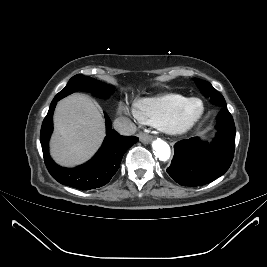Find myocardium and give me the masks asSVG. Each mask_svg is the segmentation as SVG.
Wrapping results in <instances>:
<instances>
[{"label": "myocardium", "instance_id": "1", "mask_svg": "<svg viewBox=\"0 0 267 267\" xmlns=\"http://www.w3.org/2000/svg\"><path fill=\"white\" fill-rule=\"evenodd\" d=\"M192 101H198L201 104V110L196 117L189 121H181V115L187 105ZM205 113V103L202 99L198 97L187 98L183 103H181L167 118H165L158 126L163 132L168 135L178 136L185 134L190 129H192L203 117Z\"/></svg>", "mask_w": 267, "mask_h": 267}]
</instances>
